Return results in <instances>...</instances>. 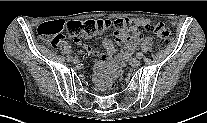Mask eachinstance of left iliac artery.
<instances>
[{"instance_id":"obj_1","label":"left iliac artery","mask_w":207,"mask_h":123,"mask_svg":"<svg viewBox=\"0 0 207 123\" xmlns=\"http://www.w3.org/2000/svg\"><path fill=\"white\" fill-rule=\"evenodd\" d=\"M136 57H137L138 59H142V58H143V54H142L141 52H138V53L136 54Z\"/></svg>"}]
</instances>
